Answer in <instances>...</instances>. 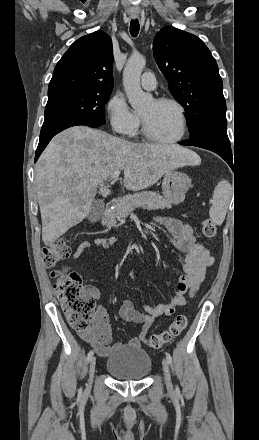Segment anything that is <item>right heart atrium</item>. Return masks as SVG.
<instances>
[{"instance_id": "right-heart-atrium-1", "label": "right heart atrium", "mask_w": 259, "mask_h": 440, "mask_svg": "<svg viewBox=\"0 0 259 440\" xmlns=\"http://www.w3.org/2000/svg\"><path fill=\"white\" fill-rule=\"evenodd\" d=\"M106 115L113 132L119 135L131 134L139 125L140 119L129 107L121 93L114 94L106 103Z\"/></svg>"}]
</instances>
